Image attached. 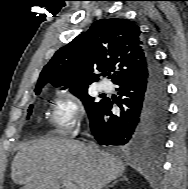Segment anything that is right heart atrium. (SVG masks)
I'll return each instance as SVG.
<instances>
[{"instance_id": "right-heart-atrium-1", "label": "right heart atrium", "mask_w": 188, "mask_h": 189, "mask_svg": "<svg viewBox=\"0 0 188 189\" xmlns=\"http://www.w3.org/2000/svg\"><path fill=\"white\" fill-rule=\"evenodd\" d=\"M83 114V108L72 95H61L54 103L52 110L53 123L63 130L77 126Z\"/></svg>"}]
</instances>
